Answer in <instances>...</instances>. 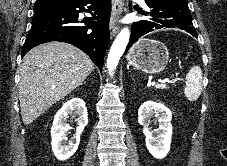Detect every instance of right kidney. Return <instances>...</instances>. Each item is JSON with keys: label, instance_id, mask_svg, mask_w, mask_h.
<instances>
[{"label": "right kidney", "instance_id": "obj_1", "mask_svg": "<svg viewBox=\"0 0 227 166\" xmlns=\"http://www.w3.org/2000/svg\"><path fill=\"white\" fill-rule=\"evenodd\" d=\"M76 115L77 127L76 133L69 140L67 131L70 126L67 124L68 115ZM88 123L87 108L85 102L80 98H72L64 103L60 110L56 113L51 128V146L55 157L64 161L70 158L78 149L80 136Z\"/></svg>", "mask_w": 227, "mask_h": 166}]
</instances>
